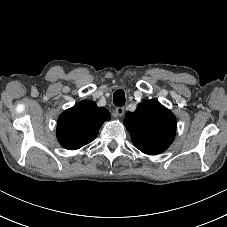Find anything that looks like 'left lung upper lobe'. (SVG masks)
<instances>
[{
  "label": "left lung upper lobe",
  "mask_w": 227,
  "mask_h": 227,
  "mask_svg": "<svg viewBox=\"0 0 227 227\" xmlns=\"http://www.w3.org/2000/svg\"><path fill=\"white\" fill-rule=\"evenodd\" d=\"M124 125L134 146L149 155L165 151L176 133L175 116L156 100L142 102L134 112H127Z\"/></svg>",
  "instance_id": "1"
}]
</instances>
